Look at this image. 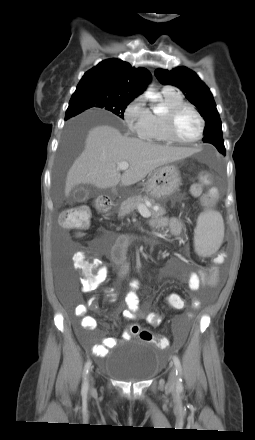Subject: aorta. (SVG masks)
Wrapping results in <instances>:
<instances>
[{
    "label": "aorta",
    "instance_id": "1",
    "mask_svg": "<svg viewBox=\"0 0 255 440\" xmlns=\"http://www.w3.org/2000/svg\"><path fill=\"white\" fill-rule=\"evenodd\" d=\"M145 95L147 98H150V99L154 98V95L151 91H146ZM154 111H156V110H154Z\"/></svg>",
    "mask_w": 255,
    "mask_h": 440
}]
</instances>
